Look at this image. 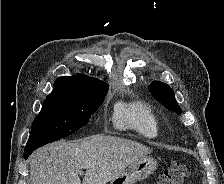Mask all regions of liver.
<instances>
[{"instance_id":"obj_1","label":"liver","mask_w":224,"mask_h":184,"mask_svg":"<svg viewBox=\"0 0 224 184\" xmlns=\"http://www.w3.org/2000/svg\"><path fill=\"white\" fill-rule=\"evenodd\" d=\"M151 149L138 142L95 135L58 141L37 149L29 159L32 184H106ZM86 170L83 182L79 173Z\"/></svg>"}]
</instances>
